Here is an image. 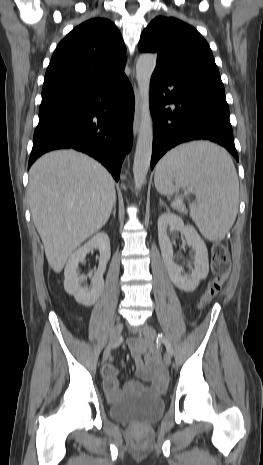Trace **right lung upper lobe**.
Returning <instances> with one entry per match:
<instances>
[{
	"label": "right lung upper lobe",
	"instance_id": "cb5924a9",
	"mask_svg": "<svg viewBox=\"0 0 263 465\" xmlns=\"http://www.w3.org/2000/svg\"><path fill=\"white\" fill-rule=\"evenodd\" d=\"M125 45L117 27L93 18L75 27L57 46L47 68L42 99L76 89L119 81Z\"/></svg>",
	"mask_w": 263,
	"mask_h": 465
}]
</instances>
